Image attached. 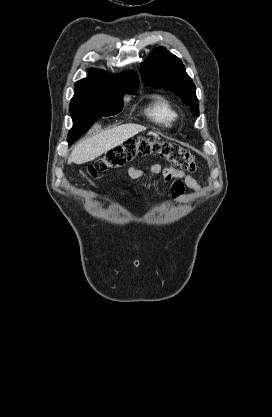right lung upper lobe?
I'll return each mask as SVG.
<instances>
[{
    "instance_id": "1",
    "label": "right lung upper lobe",
    "mask_w": 272,
    "mask_h": 417,
    "mask_svg": "<svg viewBox=\"0 0 272 417\" xmlns=\"http://www.w3.org/2000/svg\"><path fill=\"white\" fill-rule=\"evenodd\" d=\"M139 80L135 72L124 71L112 76L103 70L90 72L89 76L75 84V95L71 102L82 101L94 94H117L138 88Z\"/></svg>"
}]
</instances>
